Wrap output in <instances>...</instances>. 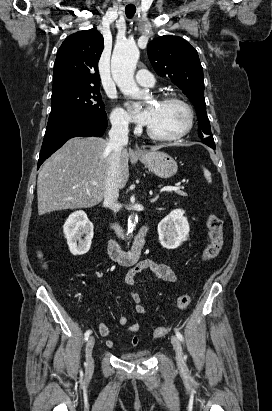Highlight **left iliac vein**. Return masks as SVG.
I'll return each mask as SVG.
<instances>
[{"label": "left iliac vein", "mask_w": 272, "mask_h": 411, "mask_svg": "<svg viewBox=\"0 0 272 411\" xmlns=\"http://www.w3.org/2000/svg\"><path fill=\"white\" fill-rule=\"evenodd\" d=\"M171 343L176 353V361L178 365L182 366L184 364V356L181 343L176 336H171Z\"/></svg>", "instance_id": "left-iliac-vein-1"}]
</instances>
